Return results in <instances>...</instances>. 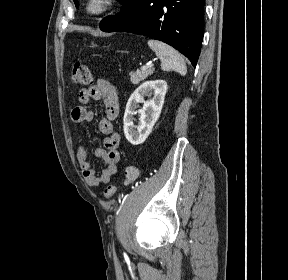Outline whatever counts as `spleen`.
I'll return each mask as SVG.
<instances>
[{"mask_svg":"<svg viewBox=\"0 0 288 280\" xmlns=\"http://www.w3.org/2000/svg\"><path fill=\"white\" fill-rule=\"evenodd\" d=\"M149 47L161 59V68L164 71L174 70L186 75L187 67L182 56L171 46L157 40H149Z\"/></svg>","mask_w":288,"mask_h":280,"instance_id":"obj_1","label":"spleen"}]
</instances>
